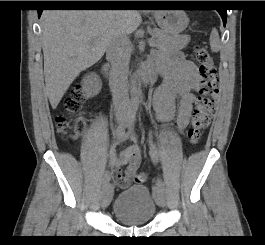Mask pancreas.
<instances>
[{
    "label": "pancreas",
    "mask_w": 265,
    "mask_h": 245,
    "mask_svg": "<svg viewBox=\"0 0 265 245\" xmlns=\"http://www.w3.org/2000/svg\"><path fill=\"white\" fill-rule=\"evenodd\" d=\"M152 41L155 42V46L159 49L181 50L189 43L190 36L170 35L163 30L155 29Z\"/></svg>",
    "instance_id": "1"
}]
</instances>
